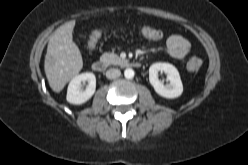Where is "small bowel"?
Instances as JSON below:
<instances>
[{"mask_svg":"<svg viewBox=\"0 0 248 165\" xmlns=\"http://www.w3.org/2000/svg\"><path fill=\"white\" fill-rule=\"evenodd\" d=\"M146 28H150V27L140 28L139 34L141 36H143L144 38L154 40V39H151L150 37H148L144 34V30ZM91 36H92V34H91ZM90 41H91V37H90ZM190 47L191 46H190L189 41L180 35H171L166 41L167 53L174 60L184 59L187 56V54L189 53Z\"/></svg>","mask_w":248,"mask_h":165,"instance_id":"c3829d8e","label":"small bowel"}]
</instances>
